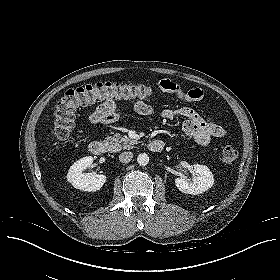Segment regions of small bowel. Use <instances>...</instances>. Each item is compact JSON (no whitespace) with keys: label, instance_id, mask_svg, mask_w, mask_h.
<instances>
[{"label":"small bowel","instance_id":"c3829d8e","mask_svg":"<svg viewBox=\"0 0 280 280\" xmlns=\"http://www.w3.org/2000/svg\"><path fill=\"white\" fill-rule=\"evenodd\" d=\"M158 88L165 93L174 95L181 101L195 103L203 99L204 91L200 88L185 90L180 85L170 80H160ZM133 110L140 115H152L154 107L142 100H136ZM121 117V112L112 99L105 100L90 116L92 123L110 124ZM161 117L167 121L182 118V128L186 135L191 137L198 145H208L212 139L222 138L226 135L223 126L213 119L199 115L189 107L179 109H164Z\"/></svg>","mask_w":280,"mask_h":280}]
</instances>
